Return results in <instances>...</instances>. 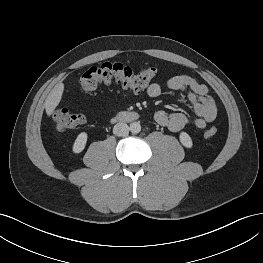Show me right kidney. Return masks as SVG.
<instances>
[{
  "instance_id": "right-kidney-1",
  "label": "right kidney",
  "mask_w": 263,
  "mask_h": 263,
  "mask_svg": "<svg viewBox=\"0 0 263 263\" xmlns=\"http://www.w3.org/2000/svg\"><path fill=\"white\" fill-rule=\"evenodd\" d=\"M88 135L86 132H81L77 138L75 139V142L73 144V152L74 153H80L85 148L86 142H87Z\"/></svg>"
}]
</instances>
